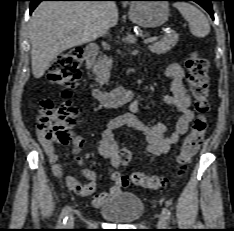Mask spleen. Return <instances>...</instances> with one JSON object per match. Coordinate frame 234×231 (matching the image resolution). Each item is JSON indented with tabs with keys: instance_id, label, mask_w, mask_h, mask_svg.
Listing matches in <instances>:
<instances>
[{
	"instance_id": "3e777b00",
	"label": "spleen",
	"mask_w": 234,
	"mask_h": 231,
	"mask_svg": "<svg viewBox=\"0 0 234 231\" xmlns=\"http://www.w3.org/2000/svg\"><path fill=\"white\" fill-rule=\"evenodd\" d=\"M173 6L188 21L192 35L195 37H205L210 33L208 20L198 8L187 2H175Z\"/></svg>"
}]
</instances>
